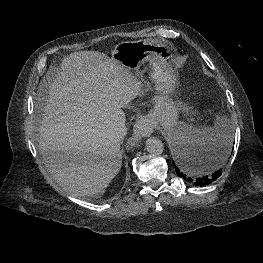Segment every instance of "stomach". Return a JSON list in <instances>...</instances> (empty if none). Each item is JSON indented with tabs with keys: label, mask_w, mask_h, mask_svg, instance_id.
<instances>
[{
	"label": "stomach",
	"mask_w": 263,
	"mask_h": 263,
	"mask_svg": "<svg viewBox=\"0 0 263 263\" xmlns=\"http://www.w3.org/2000/svg\"><path fill=\"white\" fill-rule=\"evenodd\" d=\"M171 56V47L146 39L119 43L112 51V59L135 74L140 73L144 63H149L157 95L146 119L161 125L169 136L177 129L179 111L186 108L171 97L177 81L171 67Z\"/></svg>",
	"instance_id": "obj_1"
}]
</instances>
